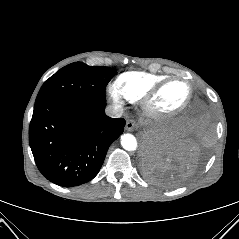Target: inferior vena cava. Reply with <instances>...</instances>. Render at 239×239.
Instances as JSON below:
<instances>
[{"mask_svg":"<svg viewBox=\"0 0 239 239\" xmlns=\"http://www.w3.org/2000/svg\"><path fill=\"white\" fill-rule=\"evenodd\" d=\"M106 114L112 118H119L123 115V108L119 105H109L105 109Z\"/></svg>","mask_w":239,"mask_h":239,"instance_id":"1","label":"inferior vena cava"}]
</instances>
